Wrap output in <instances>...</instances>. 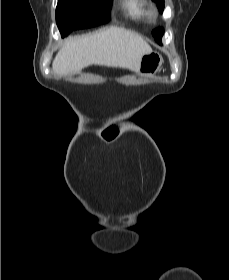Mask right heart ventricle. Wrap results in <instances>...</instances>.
<instances>
[{
	"instance_id": "right-heart-ventricle-1",
	"label": "right heart ventricle",
	"mask_w": 229,
	"mask_h": 280,
	"mask_svg": "<svg viewBox=\"0 0 229 280\" xmlns=\"http://www.w3.org/2000/svg\"><path fill=\"white\" fill-rule=\"evenodd\" d=\"M121 7L125 15L132 21H144L150 14L145 0H123Z\"/></svg>"
}]
</instances>
